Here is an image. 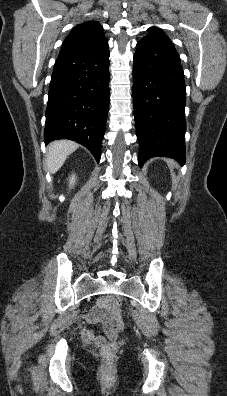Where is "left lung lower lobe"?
Here are the masks:
<instances>
[{
    "instance_id": "left-lung-lower-lobe-1",
    "label": "left lung lower lobe",
    "mask_w": 227,
    "mask_h": 396,
    "mask_svg": "<svg viewBox=\"0 0 227 396\" xmlns=\"http://www.w3.org/2000/svg\"><path fill=\"white\" fill-rule=\"evenodd\" d=\"M133 104L139 166L155 156L185 162V83L180 58L168 39L148 37L133 58Z\"/></svg>"
}]
</instances>
